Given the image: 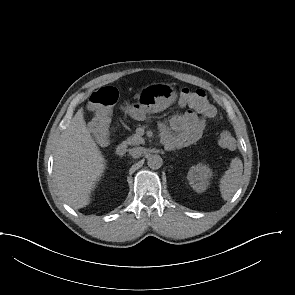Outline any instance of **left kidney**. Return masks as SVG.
Instances as JSON below:
<instances>
[{
    "label": "left kidney",
    "instance_id": "5707ae66",
    "mask_svg": "<svg viewBox=\"0 0 295 295\" xmlns=\"http://www.w3.org/2000/svg\"><path fill=\"white\" fill-rule=\"evenodd\" d=\"M212 177L211 169L204 164H197L192 166L187 175L189 184L197 192L201 193L206 190L209 185V179Z\"/></svg>",
    "mask_w": 295,
    "mask_h": 295
}]
</instances>
